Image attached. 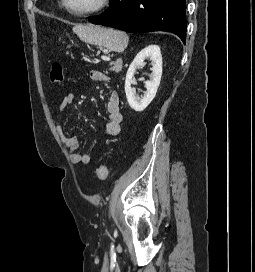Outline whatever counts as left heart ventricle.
<instances>
[{
  "label": "left heart ventricle",
  "mask_w": 255,
  "mask_h": 272,
  "mask_svg": "<svg viewBox=\"0 0 255 272\" xmlns=\"http://www.w3.org/2000/svg\"><path fill=\"white\" fill-rule=\"evenodd\" d=\"M69 6L77 11H83L95 7L99 0H67Z\"/></svg>",
  "instance_id": "left-heart-ventricle-1"
}]
</instances>
